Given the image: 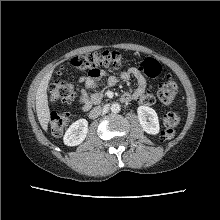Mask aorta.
Segmentation results:
<instances>
[{
	"label": "aorta",
	"instance_id": "762f6f07",
	"mask_svg": "<svg viewBox=\"0 0 220 220\" xmlns=\"http://www.w3.org/2000/svg\"><path fill=\"white\" fill-rule=\"evenodd\" d=\"M111 111L113 112V113H118V112H120V110H121V107H120V105L118 104V103H113L112 105H111Z\"/></svg>",
	"mask_w": 220,
	"mask_h": 220
}]
</instances>
